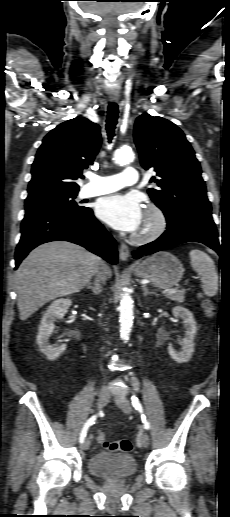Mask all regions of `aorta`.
<instances>
[{
  "label": "aorta",
  "instance_id": "obj_1",
  "mask_svg": "<svg viewBox=\"0 0 230 517\" xmlns=\"http://www.w3.org/2000/svg\"><path fill=\"white\" fill-rule=\"evenodd\" d=\"M113 160L116 164L124 165L134 160V153L129 148L117 149L114 152ZM133 300L128 293H124L121 297L119 306V322H120V335L124 341L129 340V336L133 325Z\"/></svg>",
  "mask_w": 230,
  "mask_h": 517
}]
</instances>
